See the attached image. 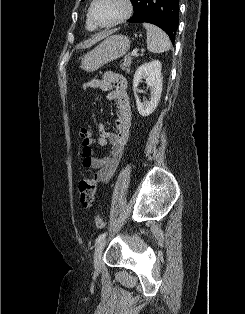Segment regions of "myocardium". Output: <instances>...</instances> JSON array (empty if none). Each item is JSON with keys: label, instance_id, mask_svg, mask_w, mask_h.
<instances>
[{"label": "myocardium", "instance_id": "obj_1", "mask_svg": "<svg viewBox=\"0 0 245 314\" xmlns=\"http://www.w3.org/2000/svg\"><path fill=\"white\" fill-rule=\"evenodd\" d=\"M96 2H97V0H92L90 3L89 9H88V19L95 28L114 27V26L124 22L126 19H128L133 12V5L131 3V0H121L122 5H123V11L120 14V16H118L112 22L101 24V23H98L93 17V8H94V5Z\"/></svg>", "mask_w": 245, "mask_h": 314}]
</instances>
